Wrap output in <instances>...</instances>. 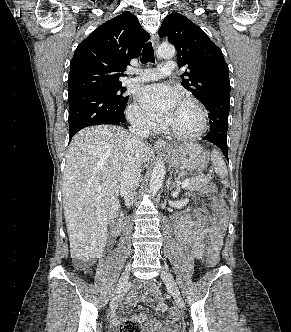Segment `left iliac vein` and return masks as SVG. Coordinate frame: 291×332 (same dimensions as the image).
<instances>
[{"label": "left iliac vein", "instance_id": "obj_1", "mask_svg": "<svg viewBox=\"0 0 291 332\" xmlns=\"http://www.w3.org/2000/svg\"><path fill=\"white\" fill-rule=\"evenodd\" d=\"M160 276L166 284L169 293L173 296L176 305L181 309L183 307V300L173 276L166 267L162 268Z\"/></svg>", "mask_w": 291, "mask_h": 332}]
</instances>
